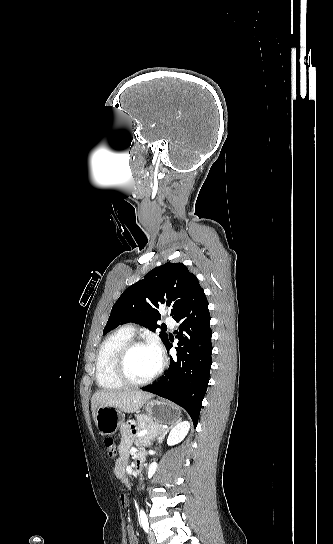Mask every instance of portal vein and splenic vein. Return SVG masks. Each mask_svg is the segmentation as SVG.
I'll return each mask as SVG.
<instances>
[{
	"label": "portal vein and splenic vein",
	"mask_w": 333,
	"mask_h": 544,
	"mask_svg": "<svg viewBox=\"0 0 333 544\" xmlns=\"http://www.w3.org/2000/svg\"><path fill=\"white\" fill-rule=\"evenodd\" d=\"M149 432L147 430H140L137 434L138 437L148 434Z\"/></svg>",
	"instance_id": "obj_1"
}]
</instances>
